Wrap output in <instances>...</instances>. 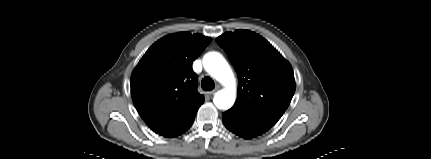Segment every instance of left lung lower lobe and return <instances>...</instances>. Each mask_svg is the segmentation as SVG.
Here are the masks:
<instances>
[{"instance_id": "0a47b994", "label": "left lung lower lobe", "mask_w": 431, "mask_h": 159, "mask_svg": "<svg viewBox=\"0 0 431 159\" xmlns=\"http://www.w3.org/2000/svg\"><path fill=\"white\" fill-rule=\"evenodd\" d=\"M223 123L228 130L245 139L259 136L270 129L267 126L240 120L228 112L223 113Z\"/></svg>"}]
</instances>
